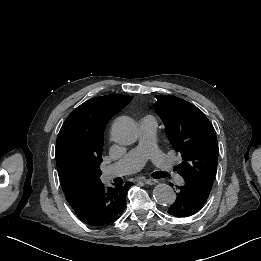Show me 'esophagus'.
<instances>
[{
	"label": "esophagus",
	"mask_w": 261,
	"mask_h": 261,
	"mask_svg": "<svg viewBox=\"0 0 261 261\" xmlns=\"http://www.w3.org/2000/svg\"><path fill=\"white\" fill-rule=\"evenodd\" d=\"M144 182L148 185H154V184H157L158 183V180L157 179H145Z\"/></svg>",
	"instance_id": "obj_1"
}]
</instances>
